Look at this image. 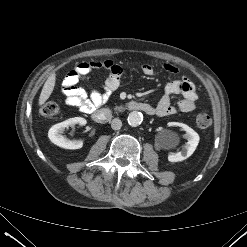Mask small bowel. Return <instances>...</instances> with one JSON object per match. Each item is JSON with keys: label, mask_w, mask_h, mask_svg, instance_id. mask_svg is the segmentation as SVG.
Wrapping results in <instances>:
<instances>
[{"label": "small bowel", "mask_w": 247, "mask_h": 247, "mask_svg": "<svg viewBox=\"0 0 247 247\" xmlns=\"http://www.w3.org/2000/svg\"><path fill=\"white\" fill-rule=\"evenodd\" d=\"M162 68L169 74H177L178 68L170 63H164ZM106 70L108 76L105 79L102 89L90 91L80 87L78 83L87 79L95 70ZM141 70L146 76H154L155 69L149 63H144ZM123 69L111 60L88 61L78 64L72 69L63 80L62 93L65 103L75 107L84 113H91L102 106L116 91L121 83ZM180 94L182 99L176 104L171 103V96ZM198 94L194 84L186 77L173 80L165 84L164 93L155 106L156 115L160 117L170 116L177 112H191L196 108Z\"/></svg>", "instance_id": "1"}]
</instances>
